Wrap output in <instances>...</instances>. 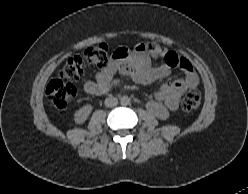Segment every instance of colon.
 Listing matches in <instances>:
<instances>
[{"label": "colon", "mask_w": 248, "mask_h": 194, "mask_svg": "<svg viewBox=\"0 0 248 194\" xmlns=\"http://www.w3.org/2000/svg\"><path fill=\"white\" fill-rule=\"evenodd\" d=\"M174 52H167L164 57L166 63L174 66ZM109 63L108 47L104 43L92 46L82 55L69 58L59 74L47 85L46 96L58 109H63L71 103L77 93L74 81L80 79L89 66L105 67ZM201 101V94L196 89L189 90L181 102L182 110L187 114L194 113Z\"/></svg>", "instance_id": "1"}]
</instances>
